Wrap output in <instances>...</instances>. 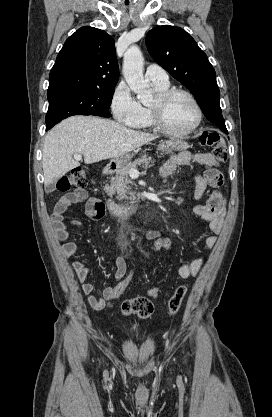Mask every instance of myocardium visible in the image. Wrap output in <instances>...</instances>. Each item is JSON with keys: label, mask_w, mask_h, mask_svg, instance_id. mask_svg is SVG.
I'll return each instance as SVG.
<instances>
[{"label": "myocardium", "mask_w": 272, "mask_h": 417, "mask_svg": "<svg viewBox=\"0 0 272 417\" xmlns=\"http://www.w3.org/2000/svg\"><path fill=\"white\" fill-rule=\"evenodd\" d=\"M184 95L186 96L193 104L196 110V121L191 128L186 131L177 132L173 131L163 121V110L166 104L175 96ZM151 121L153 126L160 132L172 136V137H186L194 133L200 126L203 118L202 108L196 99V97L189 92L188 90L182 88H168L160 93L156 97V103L149 107Z\"/></svg>", "instance_id": "f54148a6"}]
</instances>
